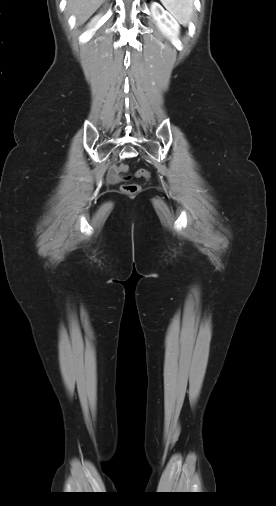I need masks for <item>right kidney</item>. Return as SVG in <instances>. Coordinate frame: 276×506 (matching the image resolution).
<instances>
[{
  "instance_id": "obj_1",
  "label": "right kidney",
  "mask_w": 276,
  "mask_h": 506,
  "mask_svg": "<svg viewBox=\"0 0 276 506\" xmlns=\"http://www.w3.org/2000/svg\"><path fill=\"white\" fill-rule=\"evenodd\" d=\"M100 16H96L92 21L91 23L89 24L88 26V31H91V29L100 22Z\"/></svg>"
}]
</instances>
